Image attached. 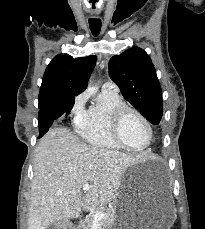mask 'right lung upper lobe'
<instances>
[{
  "instance_id": "right-lung-upper-lobe-1",
  "label": "right lung upper lobe",
  "mask_w": 205,
  "mask_h": 229,
  "mask_svg": "<svg viewBox=\"0 0 205 229\" xmlns=\"http://www.w3.org/2000/svg\"><path fill=\"white\" fill-rule=\"evenodd\" d=\"M96 57L73 58L57 55L46 68L39 93V102L50 105L60 99L79 95L87 87Z\"/></svg>"
}]
</instances>
